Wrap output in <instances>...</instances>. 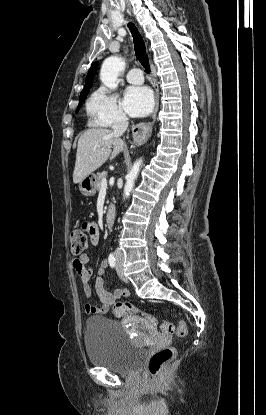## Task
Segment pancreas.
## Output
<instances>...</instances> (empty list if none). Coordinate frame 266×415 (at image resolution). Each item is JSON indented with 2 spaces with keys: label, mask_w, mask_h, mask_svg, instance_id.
<instances>
[{
  "label": "pancreas",
  "mask_w": 266,
  "mask_h": 415,
  "mask_svg": "<svg viewBox=\"0 0 266 415\" xmlns=\"http://www.w3.org/2000/svg\"><path fill=\"white\" fill-rule=\"evenodd\" d=\"M107 172L103 171L100 174H98V177L96 179V190H100L101 189V181L102 179L106 178Z\"/></svg>",
  "instance_id": "cf45deb5"
}]
</instances>
